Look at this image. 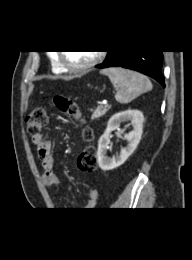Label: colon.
Wrapping results in <instances>:
<instances>
[{"mask_svg": "<svg viewBox=\"0 0 192 260\" xmlns=\"http://www.w3.org/2000/svg\"><path fill=\"white\" fill-rule=\"evenodd\" d=\"M53 105L61 112L80 120L78 105L71 99L64 96H55L52 100ZM47 112L43 107H36L31 111L26 120L27 131L32 136L40 134L43 127L47 124ZM83 138L86 141L92 140V132L89 128L83 130ZM97 158L94 147L88 145L79 155L77 165L81 171L92 172L96 168Z\"/></svg>", "mask_w": 192, "mask_h": 260, "instance_id": "obj_1", "label": "colon"}]
</instances>
